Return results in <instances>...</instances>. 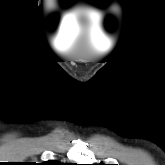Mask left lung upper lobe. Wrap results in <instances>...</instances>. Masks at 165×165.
Listing matches in <instances>:
<instances>
[{
    "mask_svg": "<svg viewBox=\"0 0 165 165\" xmlns=\"http://www.w3.org/2000/svg\"><path fill=\"white\" fill-rule=\"evenodd\" d=\"M94 165H105V164H103V163H100V164H94Z\"/></svg>",
    "mask_w": 165,
    "mask_h": 165,
    "instance_id": "1",
    "label": "left lung upper lobe"
}]
</instances>
